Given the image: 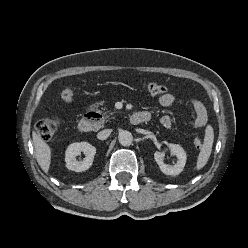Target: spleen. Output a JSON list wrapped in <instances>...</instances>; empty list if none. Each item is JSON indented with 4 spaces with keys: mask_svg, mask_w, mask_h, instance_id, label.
Masks as SVG:
<instances>
[{
    "mask_svg": "<svg viewBox=\"0 0 248 248\" xmlns=\"http://www.w3.org/2000/svg\"><path fill=\"white\" fill-rule=\"evenodd\" d=\"M214 141V133L212 128H208L205 133L204 143L201 147L200 153L197 158L196 169H202L208 162L211 155L212 146Z\"/></svg>",
    "mask_w": 248,
    "mask_h": 248,
    "instance_id": "1",
    "label": "spleen"
}]
</instances>
